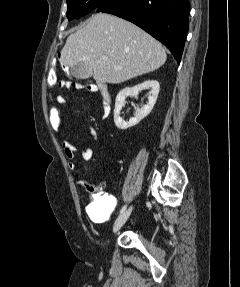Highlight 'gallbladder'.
<instances>
[{
	"instance_id": "bac80fb5",
	"label": "gallbladder",
	"mask_w": 240,
	"mask_h": 287,
	"mask_svg": "<svg viewBox=\"0 0 240 287\" xmlns=\"http://www.w3.org/2000/svg\"><path fill=\"white\" fill-rule=\"evenodd\" d=\"M68 74L76 79H88L92 77L93 72L92 69L85 63H77L76 65L70 67Z\"/></svg>"
}]
</instances>
